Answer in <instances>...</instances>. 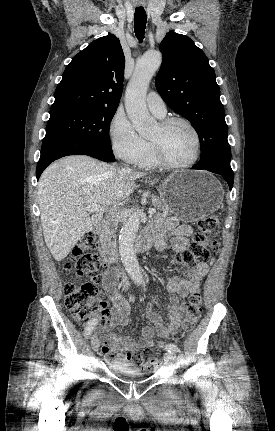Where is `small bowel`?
Masks as SVG:
<instances>
[{"mask_svg": "<svg viewBox=\"0 0 275 431\" xmlns=\"http://www.w3.org/2000/svg\"><path fill=\"white\" fill-rule=\"evenodd\" d=\"M152 239L159 251L167 248L166 234L170 233L172 249L182 252L189 246V238L192 228L188 224H179L175 218H167L151 228ZM211 262H203L188 271L187 277L171 276L166 281V287L173 295L167 307L166 319L161 318L149 304L146 308V318L152 323L153 328L143 327L136 337L130 335H118L112 332L117 325H127L129 322V302L117 291L119 274L116 270H108L102 279V286L113 307L105 310L104 323L96 329L101 336V351L109 363L131 364L135 362L138 354L154 342L155 333L162 339H168L174 335L180 325L185 298L199 291L200 282L207 275Z\"/></svg>", "mask_w": 275, "mask_h": 431, "instance_id": "small-bowel-1", "label": "small bowel"}]
</instances>
